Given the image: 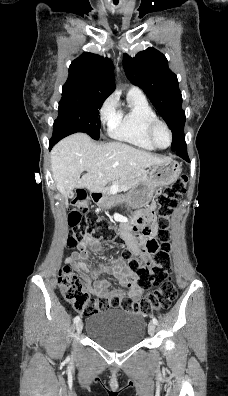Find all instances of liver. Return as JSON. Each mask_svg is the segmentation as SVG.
<instances>
[{"label":"liver","mask_w":228,"mask_h":396,"mask_svg":"<svg viewBox=\"0 0 228 396\" xmlns=\"http://www.w3.org/2000/svg\"><path fill=\"white\" fill-rule=\"evenodd\" d=\"M170 160L122 142L95 143L84 133L62 139L51 151V171L57 190L67 197L74 188L104 192L121 177ZM83 171H87L81 176Z\"/></svg>","instance_id":"obj_1"}]
</instances>
